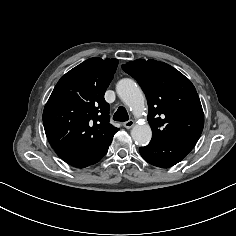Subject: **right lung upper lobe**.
<instances>
[{"label": "right lung upper lobe", "instance_id": "1", "mask_svg": "<svg viewBox=\"0 0 236 236\" xmlns=\"http://www.w3.org/2000/svg\"><path fill=\"white\" fill-rule=\"evenodd\" d=\"M117 65V59L90 58L58 81L43 111L54 150H96L119 130L109 123L110 107L104 99Z\"/></svg>", "mask_w": 236, "mask_h": 236}]
</instances>
